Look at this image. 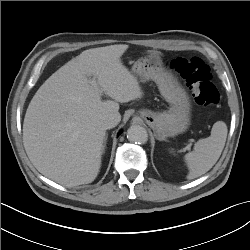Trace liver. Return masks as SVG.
<instances>
[{
	"instance_id": "6515ba94",
	"label": "liver",
	"mask_w": 250,
	"mask_h": 250,
	"mask_svg": "<svg viewBox=\"0 0 250 250\" xmlns=\"http://www.w3.org/2000/svg\"><path fill=\"white\" fill-rule=\"evenodd\" d=\"M127 49L118 44L85 50L33 96L24 118L23 143L45 177L67 187L97 177L106 136L102 119L114 114L121 120L119 103L143 96L137 78L121 61ZM103 94L113 100H102Z\"/></svg>"
}]
</instances>
